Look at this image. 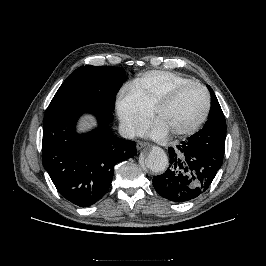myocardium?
<instances>
[{
	"mask_svg": "<svg viewBox=\"0 0 266 266\" xmlns=\"http://www.w3.org/2000/svg\"><path fill=\"white\" fill-rule=\"evenodd\" d=\"M190 87L200 88L204 92L205 98H206V106H205L204 112L201 115V117L191 126L172 132L171 134L173 136H185V135L193 134L194 132L200 129V127L205 123V121L207 120L210 114L211 107H212V100H211V95H210L209 90L203 84L192 81V82H187V83L177 85L174 88H172L170 91H168L155 105L153 109V117L156 119L159 113L165 107L170 105L178 97V95L181 92H183L184 90Z\"/></svg>",
	"mask_w": 266,
	"mask_h": 266,
	"instance_id": "1",
	"label": "myocardium"
}]
</instances>
